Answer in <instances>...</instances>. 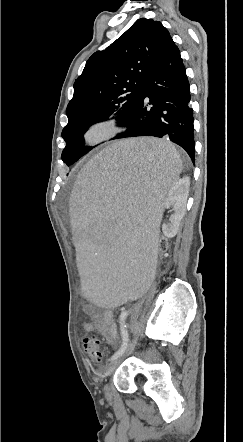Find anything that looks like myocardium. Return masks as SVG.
Masks as SVG:
<instances>
[{
	"instance_id": "obj_1",
	"label": "myocardium",
	"mask_w": 243,
	"mask_h": 442,
	"mask_svg": "<svg viewBox=\"0 0 243 442\" xmlns=\"http://www.w3.org/2000/svg\"><path fill=\"white\" fill-rule=\"evenodd\" d=\"M102 128L104 132L98 137L91 138L90 134L93 130ZM121 131L119 120L114 116H102L88 123L82 133V141L89 146H97L116 137Z\"/></svg>"
}]
</instances>
